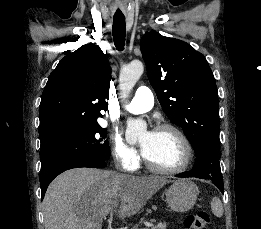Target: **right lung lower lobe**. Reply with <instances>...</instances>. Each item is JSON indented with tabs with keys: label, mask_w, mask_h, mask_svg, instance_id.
Listing matches in <instances>:
<instances>
[{
	"label": "right lung lower lobe",
	"mask_w": 261,
	"mask_h": 229,
	"mask_svg": "<svg viewBox=\"0 0 261 229\" xmlns=\"http://www.w3.org/2000/svg\"><path fill=\"white\" fill-rule=\"evenodd\" d=\"M106 165H107L106 161L90 159V160L73 161L67 163H58L42 168L40 171V186H41V194H42L41 200H43L44 198L49 183L60 173L72 168H80V167L104 168L106 167Z\"/></svg>",
	"instance_id": "right-lung-lower-lobe-1"
}]
</instances>
